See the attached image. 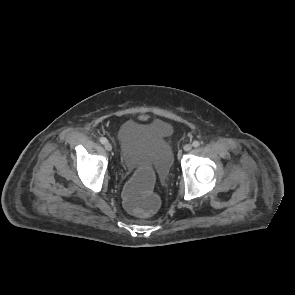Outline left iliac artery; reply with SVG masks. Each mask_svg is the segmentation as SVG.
I'll use <instances>...</instances> for the list:
<instances>
[{
  "mask_svg": "<svg viewBox=\"0 0 295 295\" xmlns=\"http://www.w3.org/2000/svg\"><path fill=\"white\" fill-rule=\"evenodd\" d=\"M192 145H193L194 147H199V146H200V142H199V141H194V142L192 143Z\"/></svg>",
  "mask_w": 295,
  "mask_h": 295,
  "instance_id": "44dca946",
  "label": "left iliac artery"
}]
</instances>
